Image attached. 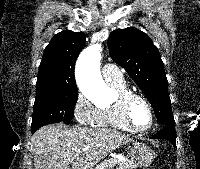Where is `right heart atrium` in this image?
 I'll use <instances>...</instances> for the list:
<instances>
[{
  "instance_id": "1",
  "label": "right heart atrium",
  "mask_w": 200,
  "mask_h": 169,
  "mask_svg": "<svg viewBox=\"0 0 200 169\" xmlns=\"http://www.w3.org/2000/svg\"><path fill=\"white\" fill-rule=\"evenodd\" d=\"M98 108L81 92L76 96L73 105V114L77 122L81 125H94Z\"/></svg>"
}]
</instances>
